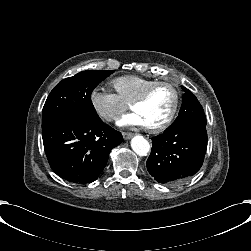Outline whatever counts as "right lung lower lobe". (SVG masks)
Returning a JSON list of instances; mask_svg holds the SVG:
<instances>
[{
  "instance_id": "98d812e1",
  "label": "right lung lower lobe",
  "mask_w": 251,
  "mask_h": 251,
  "mask_svg": "<svg viewBox=\"0 0 251 251\" xmlns=\"http://www.w3.org/2000/svg\"><path fill=\"white\" fill-rule=\"evenodd\" d=\"M45 154L52 170L63 179L86 184L104 170L122 134L102 120L71 114L42 128Z\"/></svg>"
}]
</instances>
